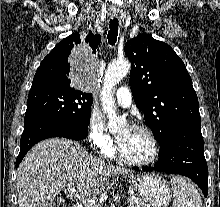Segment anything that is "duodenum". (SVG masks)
<instances>
[{
  "label": "duodenum",
  "mask_w": 220,
  "mask_h": 207,
  "mask_svg": "<svg viewBox=\"0 0 220 207\" xmlns=\"http://www.w3.org/2000/svg\"><path fill=\"white\" fill-rule=\"evenodd\" d=\"M71 207H78V206H76V205H73V206H71Z\"/></svg>",
  "instance_id": "duodenum-1"
}]
</instances>
